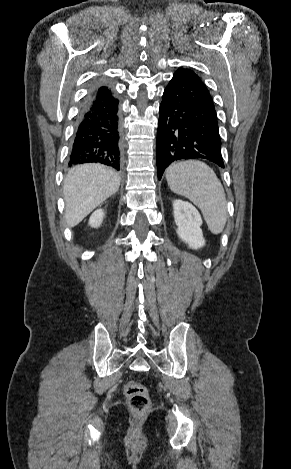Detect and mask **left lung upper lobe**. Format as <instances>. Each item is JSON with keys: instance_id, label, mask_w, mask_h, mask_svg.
Returning <instances> with one entry per match:
<instances>
[{"instance_id": "5c2ea615", "label": "left lung upper lobe", "mask_w": 291, "mask_h": 469, "mask_svg": "<svg viewBox=\"0 0 291 469\" xmlns=\"http://www.w3.org/2000/svg\"><path fill=\"white\" fill-rule=\"evenodd\" d=\"M188 71H189L190 74L194 75L196 78H199L198 75H196L193 71H191V70H188Z\"/></svg>"}]
</instances>
